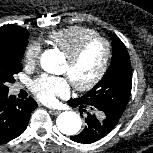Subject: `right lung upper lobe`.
Returning a JSON list of instances; mask_svg holds the SVG:
<instances>
[{
  "label": "right lung upper lobe",
  "instance_id": "obj_1",
  "mask_svg": "<svg viewBox=\"0 0 153 153\" xmlns=\"http://www.w3.org/2000/svg\"><path fill=\"white\" fill-rule=\"evenodd\" d=\"M29 33L24 28L16 25L0 27V42H12L28 38Z\"/></svg>",
  "mask_w": 153,
  "mask_h": 153
}]
</instances>
